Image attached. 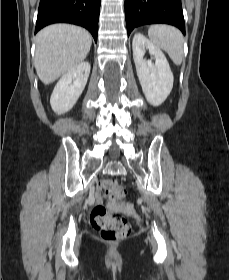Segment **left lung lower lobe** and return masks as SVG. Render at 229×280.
Here are the masks:
<instances>
[{"label":"left lung lower lobe","mask_w":229,"mask_h":280,"mask_svg":"<svg viewBox=\"0 0 229 280\" xmlns=\"http://www.w3.org/2000/svg\"><path fill=\"white\" fill-rule=\"evenodd\" d=\"M128 36L138 26L165 23L176 26L185 34L181 0H125Z\"/></svg>","instance_id":"1"}]
</instances>
